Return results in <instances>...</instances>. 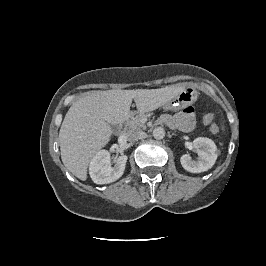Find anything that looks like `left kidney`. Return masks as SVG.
<instances>
[{"label": "left kidney", "mask_w": 266, "mask_h": 266, "mask_svg": "<svg viewBox=\"0 0 266 266\" xmlns=\"http://www.w3.org/2000/svg\"><path fill=\"white\" fill-rule=\"evenodd\" d=\"M193 145L198 154V160H192L189 154L180 158L182 167L191 173H201L209 170L216 162L217 147L215 143L206 137L194 139Z\"/></svg>", "instance_id": "1"}]
</instances>
